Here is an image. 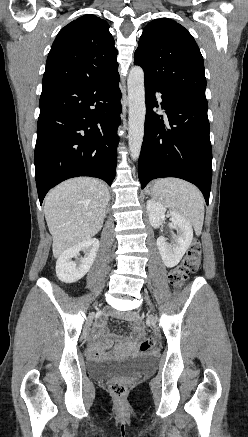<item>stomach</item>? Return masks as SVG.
<instances>
[{
  "instance_id": "0dacf381",
  "label": "stomach",
  "mask_w": 248,
  "mask_h": 437,
  "mask_svg": "<svg viewBox=\"0 0 248 437\" xmlns=\"http://www.w3.org/2000/svg\"><path fill=\"white\" fill-rule=\"evenodd\" d=\"M151 195H152V196L154 195V191H153V190H151Z\"/></svg>"
}]
</instances>
